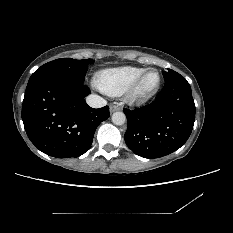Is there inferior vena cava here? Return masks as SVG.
<instances>
[{"label": "inferior vena cava", "mask_w": 233, "mask_h": 233, "mask_svg": "<svg viewBox=\"0 0 233 233\" xmlns=\"http://www.w3.org/2000/svg\"><path fill=\"white\" fill-rule=\"evenodd\" d=\"M86 101H87V104L92 108H101L107 104L105 99H103L102 97L98 95H94V94L89 95Z\"/></svg>", "instance_id": "1"}]
</instances>
